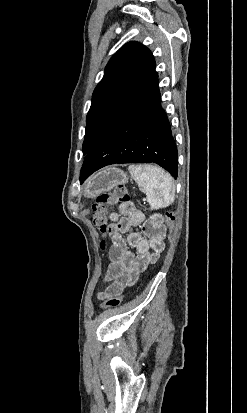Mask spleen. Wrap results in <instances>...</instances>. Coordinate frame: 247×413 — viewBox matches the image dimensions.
<instances>
[{
	"label": "spleen",
	"mask_w": 247,
	"mask_h": 413,
	"mask_svg": "<svg viewBox=\"0 0 247 413\" xmlns=\"http://www.w3.org/2000/svg\"><path fill=\"white\" fill-rule=\"evenodd\" d=\"M129 172L147 194L151 209H163L172 204L175 186L172 176L159 166L146 168L144 164H129Z\"/></svg>",
	"instance_id": "3e777b00"
}]
</instances>
